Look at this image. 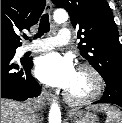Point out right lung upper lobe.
<instances>
[{
    "label": "right lung upper lobe",
    "instance_id": "1",
    "mask_svg": "<svg viewBox=\"0 0 122 123\" xmlns=\"http://www.w3.org/2000/svg\"><path fill=\"white\" fill-rule=\"evenodd\" d=\"M45 5V0H1V49L19 47L18 32L36 24Z\"/></svg>",
    "mask_w": 122,
    "mask_h": 123
}]
</instances>
